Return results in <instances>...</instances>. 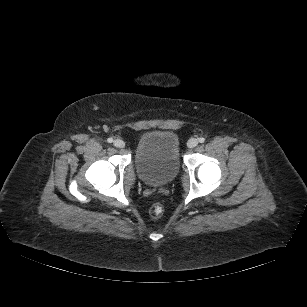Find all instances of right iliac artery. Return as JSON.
<instances>
[{
  "mask_svg": "<svg viewBox=\"0 0 307 307\" xmlns=\"http://www.w3.org/2000/svg\"><path fill=\"white\" fill-rule=\"evenodd\" d=\"M107 142H108V143H112V142H113V138H111V137L108 138V139H107Z\"/></svg>",
  "mask_w": 307,
  "mask_h": 307,
  "instance_id": "right-iliac-artery-1",
  "label": "right iliac artery"
}]
</instances>
